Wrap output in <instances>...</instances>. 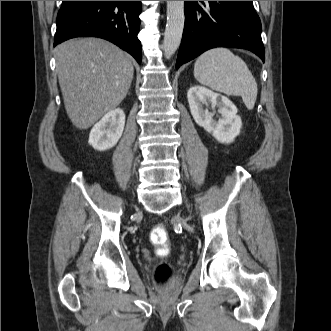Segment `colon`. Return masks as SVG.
<instances>
[{
	"label": "colon",
	"instance_id": "obj_1",
	"mask_svg": "<svg viewBox=\"0 0 331 331\" xmlns=\"http://www.w3.org/2000/svg\"><path fill=\"white\" fill-rule=\"evenodd\" d=\"M150 241L158 247L157 253L164 256L168 252L169 233L162 226H155L150 232ZM173 268L167 262H160L154 267L153 280L157 291L162 296H167L170 292L171 282L173 279Z\"/></svg>",
	"mask_w": 331,
	"mask_h": 331
}]
</instances>
